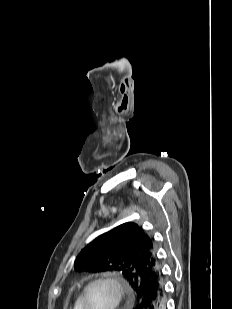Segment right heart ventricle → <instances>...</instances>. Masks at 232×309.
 I'll return each instance as SVG.
<instances>
[{
  "label": "right heart ventricle",
  "mask_w": 232,
  "mask_h": 309,
  "mask_svg": "<svg viewBox=\"0 0 232 309\" xmlns=\"http://www.w3.org/2000/svg\"><path fill=\"white\" fill-rule=\"evenodd\" d=\"M73 309H81V300L80 296H78L74 302Z\"/></svg>",
  "instance_id": "obj_1"
}]
</instances>
